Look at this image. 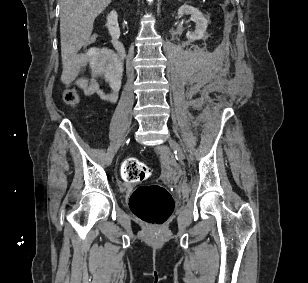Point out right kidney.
Here are the masks:
<instances>
[{"label": "right kidney", "mask_w": 308, "mask_h": 283, "mask_svg": "<svg viewBox=\"0 0 308 283\" xmlns=\"http://www.w3.org/2000/svg\"><path fill=\"white\" fill-rule=\"evenodd\" d=\"M106 26L108 31L113 39H119L120 37V29L118 25V15L116 11H111L107 16Z\"/></svg>", "instance_id": "obj_1"}]
</instances>
